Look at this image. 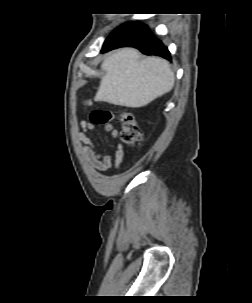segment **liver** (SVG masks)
Wrapping results in <instances>:
<instances>
[{
	"instance_id": "6515ba94",
	"label": "liver",
	"mask_w": 252,
	"mask_h": 303,
	"mask_svg": "<svg viewBox=\"0 0 252 303\" xmlns=\"http://www.w3.org/2000/svg\"><path fill=\"white\" fill-rule=\"evenodd\" d=\"M105 71L95 99L125 107H143L169 92L175 82L168 61L159 57L140 60L133 48L118 50L102 63Z\"/></svg>"
}]
</instances>
